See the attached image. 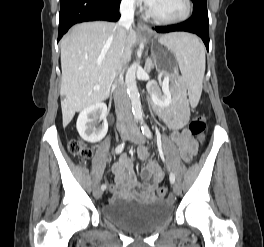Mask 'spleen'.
<instances>
[{"mask_svg":"<svg viewBox=\"0 0 264 247\" xmlns=\"http://www.w3.org/2000/svg\"><path fill=\"white\" fill-rule=\"evenodd\" d=\"M175 55L189 96L198 102L205 73V48L199 38L189 33H176L167 41Z\"/></svg>","mask_w":264,"mask_h":247,"instance_id":"1","label":"spleen"}]
</instances>
